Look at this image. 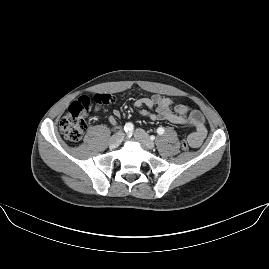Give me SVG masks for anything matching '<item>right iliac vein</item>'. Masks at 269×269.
<instances>
[{"instance_id": "obj_1", "label": "right iliac vein", "mask_w": 269, "mask_h": 269, "mask_svg": "<svg viewBox=\"0 0 269 269\" xmlns=\"http://www.w3.org/2000/svg\"><path fill=\"white\" fill-rule=\"evenodd\" d=\"M123 133L118 132L109 139V146L111 148H117L122 142Z\"/></svg>"}]
</instances>
